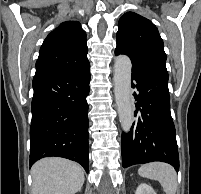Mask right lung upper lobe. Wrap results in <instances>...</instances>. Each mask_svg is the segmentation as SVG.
<instances>
[{"label": "right lung upper lobe", "instance_id": "right-lung-upper-lobe-1", "mask_svg": "<svg viewBox=\"0 0 201 194\" xmlns=\"http://www.w3.org/2000/svg\"><path fill=\"white\" fill-rule=\"evenodd\" d=\"M87 53L86 32L80 23L63 22L44 40L35 75L80 72L90 66Z\"/></svg>", "mask_w": 201, "mask_h": 194}]
</instances>
